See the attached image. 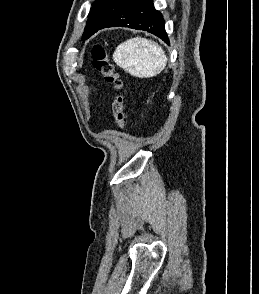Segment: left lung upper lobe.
<instances>
[{
    "mask_svg": "<svg viewBox=\"0 0 259 294\" xmlns=\"http://www.w3.org/2000/svg\"><path fill=\"white\" fill-rule=\"evenodd\" d=\"M126 1L127 0H96L92 4V8L88 15L84 38L87 39L97 32L114 8Z\"/></svg>",
    "mask_w": 259,
    "mask_h": 294,
    "instance_id": "left-lung-upper-lobe-1",
    "label": "left lung upper lobe"
}]
</instances>
